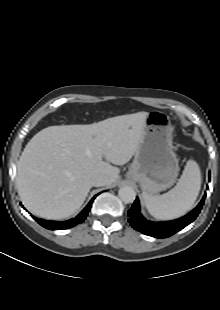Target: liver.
Segmentation results:
<instances>
[{"mask_svg":"<svg viewBox=\"0 0 220 310\" xmlns=\"http://www.w3.org/2000/svg\"><path fill=\"white\" fill-rule=\"evenodd\" d=\"M148 112L89 125L50 126L26 145L17 165L16 185L25 207L45 219L74 214L85 201L95 175L114 183L119 168L137 151ZM105 159V161L103 160Z\"/></svg>","mask_w":220,"mask_h":310,"instance_id":"6515ba94","label":"liver"}]
</instances>
